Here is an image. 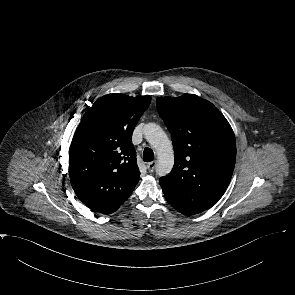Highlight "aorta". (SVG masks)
Listing matches in <instances>:
<instances>
[{"mask_svg":"<svg viewBox=\"0 0 295 295\" xmlns=\"http://www.w3.org/2000/svg\"><path fill=\"white\" fill-rule=\"evenodd\" d=\"M143 134L158 155L156 173L158 176L167 175L174 165V153L171 141L164 130L155 123L146 124L143 128Z\"/></svg>","mask_w":295,"mask_h":295,"instance_id":"762f6f07","label":"aorta"}]
</instances>
